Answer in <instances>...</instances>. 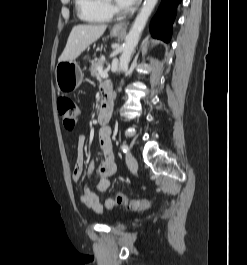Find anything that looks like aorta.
I'll return each instance as SVG.
<instances>
[{"label": "aorta", "instance_id": "aorta-1", "mask_svg": "<svg viewBox=\"0 0 247 265\" xmlns=\"http://www.w3.org/2000/svg\"><path fill=\"white\" fill-rule=\"evenodd\" d=\"M157 2L158 0H144L140 12L126 36L123 52L119 59V72L128 67L133 52L140 40L142 31Z\"/></svg>", "mask_w": 247, "mask_h": 265}]
</instances>
